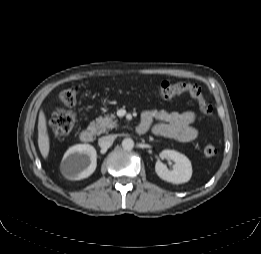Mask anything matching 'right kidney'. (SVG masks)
Listing matches in <instances>:
<instances>
[{"label":"right kidney","mask_w":261,"mask_h":254,"mask_svg":"<svg viewBox=\"0 0 261 254\" xmlns=\"http://www.w3.org/2000/svg\"><path fill=\"white\" fill-rule=\"evenodd\" d=\"M96 166L95 148L89 144H77L66 151L61 163V172L69 180H81L89 177Z\"/></svg>","instance_id":"right-kidney-1"}]
</instances>
